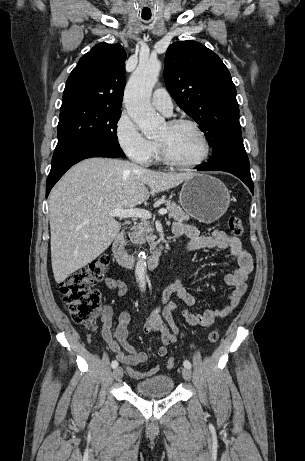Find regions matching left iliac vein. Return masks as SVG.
I'll return each mask as SVG.
<instances>
[{
    "mask_svg": "<svg viewBox=\"0 0 305 461\" xmlns=\"http://www.w3.org/2000/svg\"><path fill=\"white\" fill-rule=\"evenodd\" d=\"M182 375H183L185 380H187V381L191 380L192 374H191V370L189 368L184 367L182 369Z\"/></svg>",
    "mask_w": 305,
    "mask_h": 461,
    "instance_id": "left-iliac-vein-1",
    "label": "left iliac vein"
}]
</instances>
